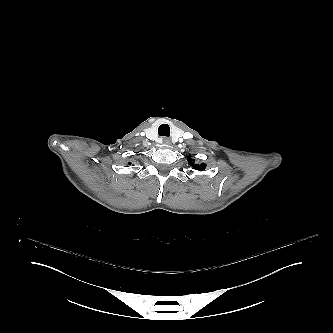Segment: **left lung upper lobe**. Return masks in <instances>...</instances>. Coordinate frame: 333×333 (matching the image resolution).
<instances>
[{"label":"left lung upper lobe","mask_w":333,"mask_h":333,"mask_svg":"<svg viewBox=\"0 0 333 333\" xmlns=\"http://www.w3.org/2000/svg\"><path fill=\"white\" fill-rule=\"evenodd\" d=\"M195 160H193L190 156L188 157V163L192 166L195 170L202 171L205 169L206 165L202 163L201 165L195 164Z\"/></svg>","instance_id":"5c2ea615"}]
</instances>
